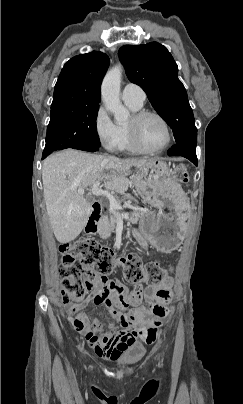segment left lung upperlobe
I'll list each match as a JSON object with an SVG mask.
<instances>
[{"label":"left lung upper lobe","instance_id":"left-lung-upper-lobe-1","mask_svg":"<svg viewBox=\"0 0 243 404\" xmlns=\"http://www.w3.org/2000/svg\"><path fill=\"white\" fill-rule=\"evenodd\" d=\"M119 58L129 80L147 94L157 113L170 125L176 144L197 143V128L178 66L161 44L125 45Z\"/></svg>","mask_w":243,"mask_h":404}]
</instances>
